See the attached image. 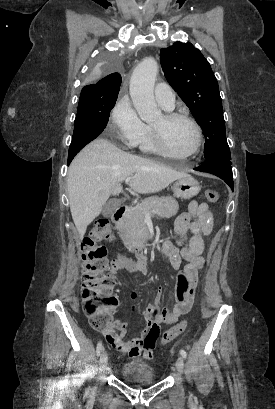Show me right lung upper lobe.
Listing matches in <instances>:
<instances>
[{"mask_svg":"<svg viewBox=\"0 0 275 409\" xmlns=\"http://www.w3.org/2000/svg\"><path fill=\"white\" fill-rule=\"evenodd\" d=\"M121 80V75L119 73H112L104 79H101L99 85L85 86L82 89L80 96L106 99L117 98Z\"/></svg>","mask_w":275,"mask_h":409,"instance_id":"1","label":"right lung upper lobe"}]
</instances>
